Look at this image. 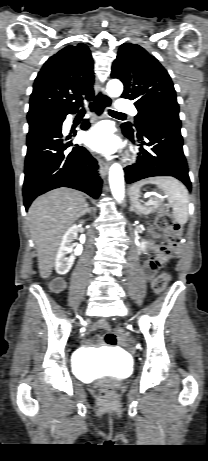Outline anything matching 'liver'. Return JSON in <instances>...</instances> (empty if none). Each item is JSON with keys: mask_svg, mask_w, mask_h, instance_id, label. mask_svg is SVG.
I'll use <instances>...</instances> for the list:
<instances>
[{"mask_svg": "<svg viewBox=\"0 0 208 461\" xmlns=\"http://www.w3.org/2000/svg\"><path fill=\"white\" fill-rule=\"evenodd\" d=\"M86 204L82 193L59 188L39 196L30 206L29 229L37 249L38 269L43 279L52 273L64 232L85 214Z\"/></svg>", "mask_w": 208, "mask_h": 461, "instance_id": "1", "label": "liver"}]
</instances>
